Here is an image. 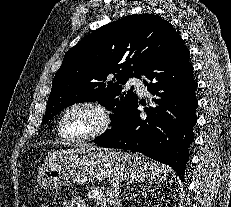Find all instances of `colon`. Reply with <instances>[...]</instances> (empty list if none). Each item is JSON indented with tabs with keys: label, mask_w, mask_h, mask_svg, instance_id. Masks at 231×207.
<instances>
[{
	"label": "colon",
	"mask_w": 231,
	"mask_h": 207,
	"mask_svg": "<svg viewBox=\"0 0 231 207\" xmlns=\"http://www.w3.org/2000/svg\"><path fill=\"white\" fill-rule=\"evenodd\" d=\"M38 207H49V206L45 205V204H42V205H39Z\"/></svg>",
	"instance_id": "obj_1"
}]
</instances>
